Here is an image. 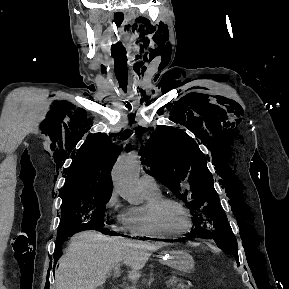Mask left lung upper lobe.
I'll list each match as a JSON object with an SVG mask.
<instances>
[{
  "instance_id": "obj_1",
  "label": "left lung upper lobe",
  "mask_w": 289,
  "mask_h": 289,
  "mask_svg": "<svg viewBox=\"0 0 289 289\" xmlns=\"http://www.w3.org/2000/svg\"><path fill=\"white\" fill-rule=\"evenodd\" d=\"M146 147L148 149L142 148L141 155H145L150 166L148 173L186 203L194 217L191 232L210 235L239 263L237 240L197 143L181 130L161 128L152 133Z\"/></svg>"
}]
</instances>
